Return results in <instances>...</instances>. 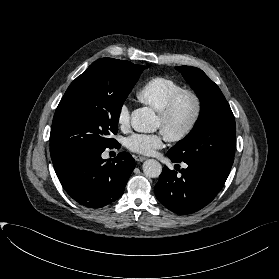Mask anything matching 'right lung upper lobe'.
I'll return each mask as SVG.
<instances>
[{"mask_svg":"<svg viewBox=\"0 0 279 279\" xmlns=\"http://www.w3.org/2000/svg\"><path fill=\"white\" fill-rule=\"evenodd\" d=\"M127 62H129V61L117 60V63H118V64H121V65H122V64H123V65H124V64H127Z\"/></svg>","mask_w":279,"mask_h":279,"instance_id":"obj_1","label":"right lung upper lobe"}]
</instances>
